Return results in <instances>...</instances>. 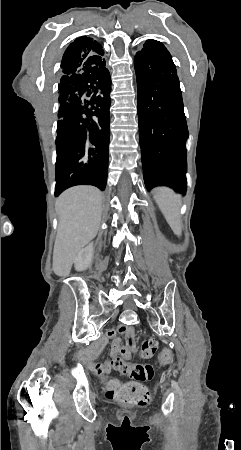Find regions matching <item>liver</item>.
Instances as JSON below:
<instances>
[{
  "label": "liver",
  "mask_w": 241,
  "mask_h": 450,
  "mask_svg": "<svg viewBox=\"0 0 241 450\" xmlns=\"http://www.w3.org/2000/svg\"><path fill=\"white\" fill-rule=\"evenodd\" d=\"M59 226L53 250V272L69 276L80 250L98 234L102 218V192L93 186H75L55 202Z\"/></svg>",
  "instance_id": "liver-1"
}]
</instances>
